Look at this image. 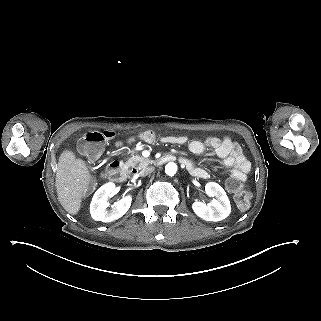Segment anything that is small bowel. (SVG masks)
Returning <instances> with one entry per match:
<instances>
[{
	"mask_svg": "<svg viewBox=\"0 0 321 321\" xmlns=\"http://www.w3.org/2000/svg\"><path fill=\"white\" fill-rule=\"evenodd\" d=\"M136 138L150 143L154 141L155 135L151 131H145L137 137L129 138L127 142H133ZM161 140L168 144H187L189 151L196 155L203 154L207 149H211L214 155L221 159L223 165L231 169L230 177L242 182L245 181L246 176L251 169V164L244 156L239 144L231 140L229 137H209L204 142L198 140L188 141L185 136H165ZM123 143V141H119L117 145L121 146ZM183 160V163L186 165L190 173L195 177L202 179L209 177V173L206 169L197 166L191 160Z\"/></svg>",
	"mask_w": 321,
	"mask_h": 321,
	"instance_id": "c3829d8e",
	"label": "small bowel"
}]
</instances>
